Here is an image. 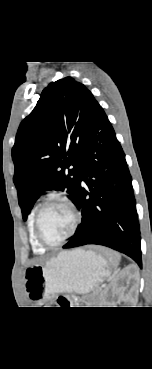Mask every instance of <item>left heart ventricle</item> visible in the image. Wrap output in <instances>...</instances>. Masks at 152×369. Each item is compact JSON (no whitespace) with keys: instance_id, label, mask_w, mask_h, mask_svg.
Masks as SVG:
<instances>
[{"instance_id":"b2bd125f","label":"left heart ventricle","mask_w":152,"mask_h":369,"mask_svg":"<svg viewBox=\"0 0 152 369\" xmlns=\"http://www.w3.org/2000/svg\"><path fill=\"white\" fill-rule=\"evenodd\" d=\"M72 224V213L61 202H51L41 214L40 230L43 238L49 243L57 242L66 236L71 230Z\"/></svg>"}]
</instances>
